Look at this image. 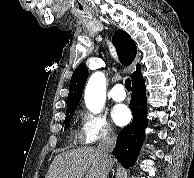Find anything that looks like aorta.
Instances as JSON below:
<instances>
[{
	"mask_svg": "<svg viewBox=\"0 0 194 178\" xmlns=\"http://www.w3.org/2000/svg\"><path fill=\"white\" fill-rule=\"evenodd\" d=\"M106 98V78L102 72H95L86 85L85 104L93 113H99L105 103Z\"/></svg>",
	"mask_w": 194,
	"mask_h": 178,
	"instance_id": "aorta-1",
	"label": "aorta"
}]
</instances>
